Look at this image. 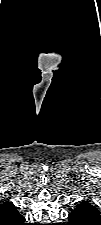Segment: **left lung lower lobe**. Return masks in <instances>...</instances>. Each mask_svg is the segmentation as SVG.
<instances>
[{"label": "left lung lower lobe", "mask_w": 101, "mask_h": 225, "mask_svg": "<svg viewBox=\"0 0 101 225\" xmlns=\"http://www.w3.org/2000/svg\"><path fill=\"white\" fill-rule=\"evenodd\" d=\"M66 225H100L99 213L96 210L77 206L69 215Z\"/></svg>", "instance_id": "1"}]
</instances>
